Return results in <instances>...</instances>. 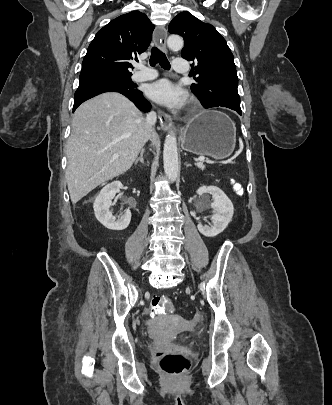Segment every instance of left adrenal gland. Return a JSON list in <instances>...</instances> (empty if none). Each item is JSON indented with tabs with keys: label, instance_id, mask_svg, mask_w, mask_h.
Segmentation results:
<instances>
[{
	"label": "left adrenal gland",
	"instance_id": "left-adrenal-gland-1",
	"mask_svg": "<svg viewBox=\"0 0 332 405\" xmlns=\"http://www.w3.org/2000/svg\"><path fill=\"white\" fill-rule=\"evenodd\" d=\"M185 166H186V167H188V166H190V164H188V163H185Z\"/></svg>",
	"mask_w": 332,
	"mask_h": 405
}]
</instances>
